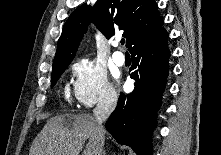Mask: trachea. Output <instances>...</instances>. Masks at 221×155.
<instances>
[{
    "mask_svg": "<svg viewBox=\"0 0 221 155\" xmlns=\"http://www.w3.org/2000/svg\"><path fill=\"white\" fill-rule=\"evenodd\" d=\"M124 43H125V40H124V39H122V40H121V44H122V45H124Z\"/></svg>",
    "mask_w": 221,
    "mask_h": 155,
    "instance_id": "1",
    "label": "trachea"
}]
</instances>
